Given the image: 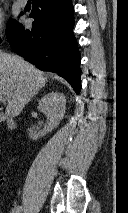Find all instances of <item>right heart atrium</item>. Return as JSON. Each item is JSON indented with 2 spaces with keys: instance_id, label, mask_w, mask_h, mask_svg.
Returning <instances> with one entry per match:
<instances>
[{
  "instance_id": "obj_1",
  "label": "right heart atrium",
  "mask_w": 128,
  "mask_h": 213,
  "mask_svg": "<svg viewBox=\"0 0 128 213\" xmlns=\"http://www.w3.org/2000/svg\"><path fill=\"white\" fill-rule=\"evenodd\" d=\"M4 26H5V15L0 10V37L3 35Z\"/></svg>"
}]
</instances>
